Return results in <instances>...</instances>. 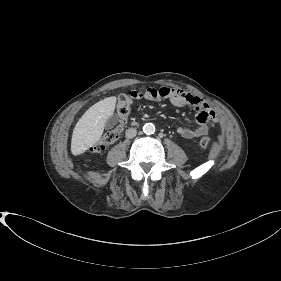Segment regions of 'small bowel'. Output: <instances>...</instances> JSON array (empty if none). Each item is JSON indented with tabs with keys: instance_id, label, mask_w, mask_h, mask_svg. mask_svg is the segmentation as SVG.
I'll return each mask as SVG.
<instances>
[{
	"instance_id": "small-bowel-1",
	"label": "small bowel",
	"mask_w": 281,
	"mask_h": 281,
	"mask_svg": "<svg viewBox=\"0 0 281 281\" xmlns=\"http://www.w3.org/2000/svg\"><path fill=\"white\" fill-rule=\"evenodd\" d=\"M131 97L135 100L145 98L150 101H168L177 107L190 106L196 112L197 128L178 127L177 133L185 138L192 139L206 135L210 128L219 122L217 112L200 97L182 89L160 87L148 88L144 91H133Z\"/></svg>"
}]
</instances>
